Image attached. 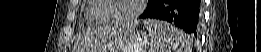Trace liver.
<instances>
[{
  "instance_id": "1",
  "label": "liver",
  "mask_w": 261,
  "mask_h": 52,
  "mask_svg": "<svg viewBox=\"0 0 261 52\" xmlns=\"http://www.w3.org/2000/svg\"><path fill=\"white\" fill-rule=\"evenodd\" d=\"M132 30V27H128L127 28V33L129 31ZM99 36L102 40V47H106L108 46L109 44L113 43L114 40L117 39V37L119 36V33H114V32H111L109 28H105L103 29L100 33H99Z\"/></svg>"
}]
</instances>
